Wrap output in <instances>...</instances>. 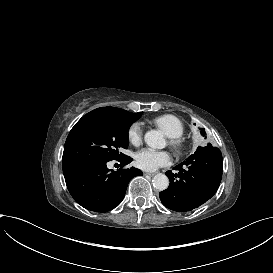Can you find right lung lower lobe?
<instances>
[{"label": "right lung lower lobe", "mask_w": 273, "mask_h": 273, "mask_svg": "<svg viewBox=\"0 0 273 273\" xmlns=\"http://www.w3.org/2000/svg\"><path fill=\"white\" fill-rule=\"evenodd\" d=\"M127 165L132 158L123 155L115 159ZM112 161V160H111ZM109 161H84L63 169L67 188L82 207L96 212H108L124 198L130 180L143 173L135 168L111 171Z\"/></svg>", "instance_id": "98d812e1"}]
</instances>
